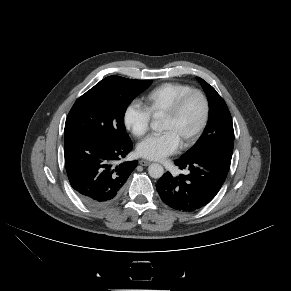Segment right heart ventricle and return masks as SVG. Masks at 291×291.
Returning <instances> with one entry per match:
<instances>
[{
  "mask_svg": "<svg viewBox=\"0 0 291 291\" xmlns=\"http://www.w3.org/2000/svg\"><path fill=\"white\" fill-rule=\"evenodd\" d=\"M192 89L191 85L184 83H162L143 97V106L153 117L163 115L179 97Z\"/></svg>",
  "mask_w": 291,
  "mask_h": 291,
  "instance_id": "obj_1",
  "label": "right heart ventricle"
}]
</instances>
